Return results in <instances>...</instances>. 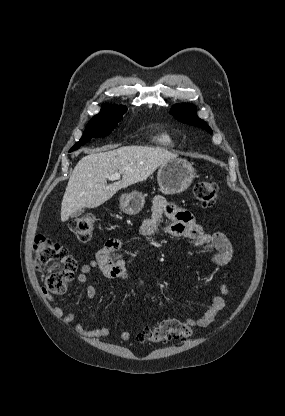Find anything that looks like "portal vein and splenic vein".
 <instances>
[{"label":"portal vein and splenic vein","mask_w":285,"mask_h":416,"mask_svg":"<svg viewBox=\"0 0 285 416\" xmlns=\"http://www.w3.org/2000/svg\"><path fill=\"white\" fill-rule=\"evenodd\" d=\"M121 176L120 174H112V176H109V180H120Z\"/></svg>","instance_id":"obj_1"}]
</instances>
